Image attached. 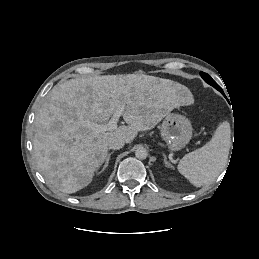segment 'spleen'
<instances>
[{"mask_svg":"<svg viewBox=\"0 0 259 259\" xmlns=\"http://www.w3.org/2000/svg\"><path fill=\"white\" fill-rule=\"evenodd\" d=\"M230 146L231 129L225 121L217 127L208 143L181 159L178 171L196 187L209 184L226 167Z\"/></svg>","mask_w":259,"mask_h":259,"instance_id":"obj_1","label":"spleen"}]
</instances>
